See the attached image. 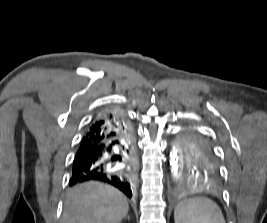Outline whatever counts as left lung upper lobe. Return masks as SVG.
I'll use <instances>...</instances> for the list:
<instances>
[{
	"mask_svg": "<svg viewBox=\"0 0 267 223\" xmlns=\"http://www.w3.org/2000/svg\"><path fill=\"white\" fill-rule=\"evenodd\" d=\"M180 171H218L210 143L195 133H186L179 142Z\"/></svg>",
	"mask_w": 267,
	"mask_h": 223,
	"instance_id": "obj_1",
	"label": "left lung upper lobe"
}]
</instances>
